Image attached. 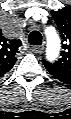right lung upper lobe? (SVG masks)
I'll return each instance as SVG.
<instances>
[{"label":"right lung upper lobe","mask_w":71,"mask_h":119,"mask_svg":"<svg viewBox=\"0 0 71 119\" xmlns=\"http://www.w3.org/2000/svg\"><path fill=\"white\" fill-rule=\"evenodd\" d=\"M21 41L10 40L4 36L0 37V71L1 73L8 72L17 61L16 54L21 46Z\"/></svg>","instance_id":"right-lung-upper-lobe-1"}]
</instances>
